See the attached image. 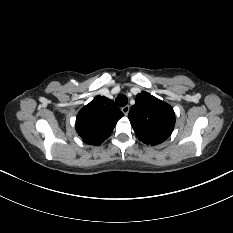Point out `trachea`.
<instances>
[{"label":"trachea","instance_id":"1","mask_svg":"<svg viewBox=\"0 0 233 233\" xmlns=\"http://www.w3.org/2000/svg\"><path fill=\"white\" fill-rule=\"evenodd\" d=\"M115 102L118 106L120 107H124L126 106L127 102H128V98L126 95L120 94L117 96V98L115 99Z\"/></svg>","mask_w":233,"mask_h":233}]
</instances>
